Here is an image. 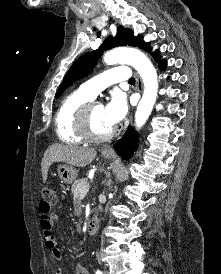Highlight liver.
Segmentation results:
<instances>
[{
    "mask_svg": "<svg viewBox=\"0 0 221 274\" xmlns=\"http://www.w3.org/2000/svg\"><path fill=\"white\" fill-rule=\"evenodd\" d=\"M96 151L90 148L53 144L44 153L41 163L43 182L48 176L49 167L54 162H64L70 166L85 167L96 157Z\"/></svg>",
    "mask_w": 221,
    "mask_h": 274,
    "instance_id": "liver-1",
    "label": "liver"
}]
</instances>
